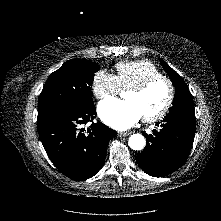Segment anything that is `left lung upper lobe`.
<instances>
[{
    "label": "left lung upper lobe",
    "instance_id": "5c2ea615",
    "mask_svg": "<svg viewBox=\"0 0 221 221\" xmlns=\"http://www.w3.org/2000/svg\"><path fill=\"white\" fill-rule=\"evenodd\" d=\"M159 60L165 71L168 73L176 89L173 106L170 108L168 114H194L193 97L189 91L188 86L185 84L181 76L177 74L168 64H166L160 58Z\"/></svg>",
    "mask_w": 221,
    "mask_h": 221
}]
</instances>
